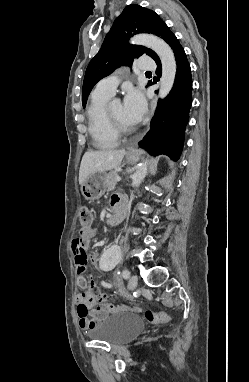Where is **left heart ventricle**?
Listing matches in <instances>:
<instances>
[{"instance_id":"1","label":"left heart ventricle","mask_w":249,"mask_h":382,"mask_svg":"<svg viewBox=\"0 0 249 382\" xmlns=\"http://www.w3.org/2000/svg\"><path fill=\"white\" fill-rule=\"evenodd\" d=\"M110 112L113 118L126 128H133L134 124L130 123L124 116L123 107L120 103L110 105Z\"/></svg>"}]
</instances>
